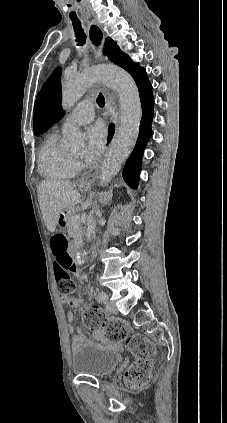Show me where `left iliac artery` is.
Here are the masks:
<instances>
[{
    "mask_svg": "<svg viewBox=\"0 0 227 423\" xmlns=\"http://www.w3.org/2000/svg\"><path fill=\"white\" fill-rule=\"evenodd\" d=\"M106 300H107V295H106L105 293L101 292V293L98 295V301H99V302H105Z\"/></svg>",
    "mask_w": 227,
    "mask_h": 423,
    "instance_id": "obj_1",
    "label": "left iliac artery"
}]
</instances>
